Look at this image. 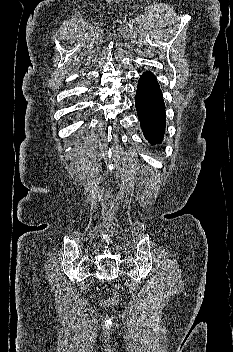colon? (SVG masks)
<instances>
[{"label":"colon","instance_id":"obj_1","mask_svg":"<svg viewBox=\"0 0 233 352\" xmlns=\"http://www.w3.org/2000/svg\"><path fill=\"white\" fill-rule=\"evenodd\" d=\"M117 301H118L117 299H112V300L108 301L107 303L109 305H113V304L117 303Z\"/></svg>","mask_w":233,"mask_h":352}]
</instances>
